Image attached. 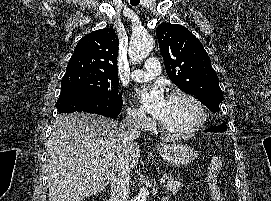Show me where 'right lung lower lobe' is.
<instances>
[{"label": "right lung lower lobe", "instance_id": "1", "mask_svg": "<svg viewBox=\"0 0 271 201\" xmlns=\"http://www.w3.org/2000/svg\"><path fill=\"white\" fill-rule=\"evenodd\" d=\"M122 96L114 99L90 98L82 95L60 96L56 102L59 113L87 112L117 117L122 109Z\"/></svg>", "mask_w": 271, "mask_h": 201}]
</instances>
